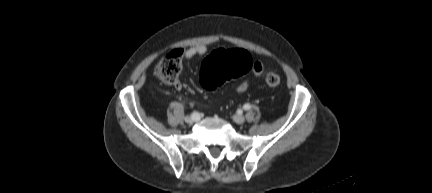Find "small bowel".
I'll list each match as a JSON object with an SVG mask.
<instances>
[{
    "instance_id": "obj_1",
    "label": "small bowel",
    "mask_w": 432,
    "mask_h": 193,
    "mask_svg": "<svg viewBox=\"0 0 432 193\" xmlns=\"http://www.w3.org/2000/svg\"><path fill=\"white\" fill-rule=\"evenodd\" d=\"M206 52H207V46L206 45H203V44L196 45V46H193V47H190L189 49H187L184 52V57L187 60H191V59H194L196 57H200V56L204 55ZM251 72L255 76H261L264 72L263 65L259 61H254ZM248 86H249V81L244 80L237 86V91L240 93L245 92L248 89ZM176 88L180 89L181 84L176 83Z\"/></svg>"
}]
</instances>
